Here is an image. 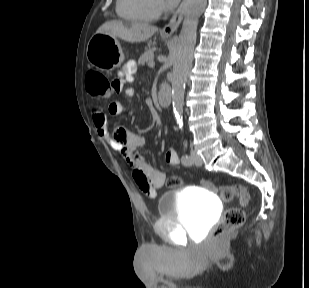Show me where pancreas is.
Masks as SVG:
<instances>
[{
	"instance_id": "cf45deb5",
	"label": "pancreas",
	"mask_w": 309,
	"mask_h": 288,
	"mask_svg": "<svg viewBox=\"0 0 309 288\" xmlns=\"http://www.w3.org/2000/svg\"><path fill=\"white\" fill-rule=\"evenodd\" d=\"M155 51L156 48L148 49L145 51V53L140 56L138 65H144L145 63L149 64L151 61H153Z\"/></svg>"
}]
</instances>
